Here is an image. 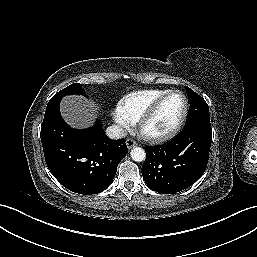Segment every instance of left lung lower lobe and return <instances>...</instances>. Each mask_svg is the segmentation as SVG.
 <instances>
[{"mask_svg":"<svg viewBox=\"0 0 257 257\" xmlns=\"http://www.w3.org/2000/svg\"><path fill=\"white\" fill-rule=\"evenodd\" d=\"M211 143V127L193 125L165 144L147 146L143 179L150 189L160 194L186 189L204 173Z\"/></svg>","mask_w":257,"mask_h":257,"instance_id":"left-lung-lower-lobe-1","label":"left lung lower lobe"}]
</instances>
